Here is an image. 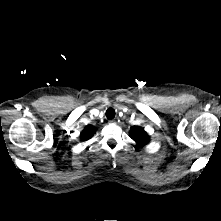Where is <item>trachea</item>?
Segmentation results:
<instances>
[{
	"label": "trachea",
	"mask_w": 221,
	"mask_h": 221,
	"mask_svg": "<svg viewBox=\"0 0 221 221\" xmlns=\"http://www.w3.org/2000/svg\"><path fill=\"white\" fill-rule=\"evenodd\" d=\"M106 117L111 120L115 117V110L113 108H108L106 111Z\"/></svg>",
	"instance_id": "3493384b"
}]
</instances>
